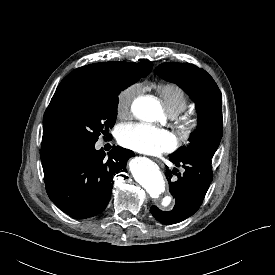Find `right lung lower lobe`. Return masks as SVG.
Listing matches in <instances>:
<instances>
[{
  "label": "right lung lower lobe",
  "instance_id": "obj_1",
  "mask_svg": "<svg viewBox=\"0 0 275 275\" xmlns=\"http://www.w3.org/2000/svg\"><path fill=\"white\" fill-rule=\"evenodd\" d=\"M133 151L113 146L108 159L94 145L70 148L43 162L45 187L51 201L77 219L95 216L107 206L113 176L126 171Z\"/></svg>",
  "mask_w": 275,
  "mask_h": 275
}]
</instances>
